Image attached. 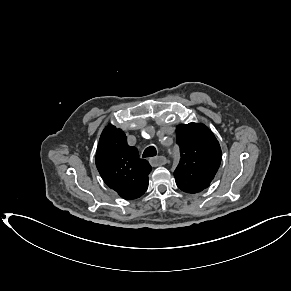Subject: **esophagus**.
<instances>
[{
    "label": "esophagus",
    "instance_id": "obj_1",
    "mask_svg": "<svg viewBox=\"0 0 291 291\" xmlns=\"http://www.w3.org/2000/svg\"><path fill=\"white\" fill-rule=\"evenodd\" d=\"M149 162L152 166L157 167V166L165 165L167 163V159L164 156H157V157L150 158Z\"/></svg>",
    "mask_w": 291,
    "mask_h": 291
}]
</instances>
